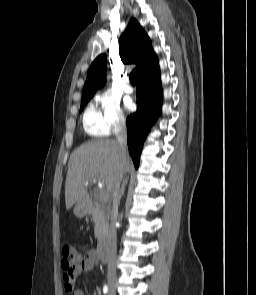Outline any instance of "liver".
Returning a JSON list of instances; mask_svg holds the SVG:
<instances>
[{"instance_id":"6515ba94","label":"liver","mask_w":256,"mask_h":295,"mask_svg":"<svg viewBox=\"0 0 256 295\" xmlns=\"http://www.w3.org/2000/svg\"><path fill=\"white\" fill-rule=\"evenodd\" d=\"M132 164L129 156L124 162L119 144L115 140L88 141L74 150L68 162L65 182V204L69 210L76 203H83L87 186L94 180L102 181L109 194L120 172L126 173Z\"/></svg>"}]
</instances>
